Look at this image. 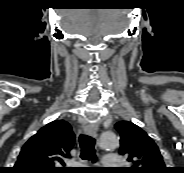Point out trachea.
I'll use <instances>...</instances> for the list:
<instances>
[{
    "label": "trachea",
    "instance_id": "obj_1",
    "mask_svg": "<svg viewBox=\"0 0 184 173\" xmlns=\"http://www.w3.org/2000/svg\"><path fill=\"white\" fill-rule=\"evenodd\" d=\"M79 144L81 149V158L95 163L97 161L95 153V139L89 135L81 134L79 137Z\"/></svg>",
    "mask_w": 184,
    "mask_h": 173
}]
</instances>
